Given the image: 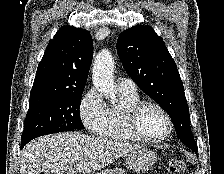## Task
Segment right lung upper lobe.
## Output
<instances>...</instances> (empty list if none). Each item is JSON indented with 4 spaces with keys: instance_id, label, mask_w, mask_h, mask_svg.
<instances>
[{
    "instance_id": "cb5924a9",
    "label": "right lung upper lobe",
    "mask_w": 224,
    "mask_h": 174,
    "mask_svg": "<svg viewBox=\"0 0 224 174\" xmlns=\"http://www.w3.org/2000/svg\"><path fill=\"white\" fill-rule=\"evenodd\" d=\"M92 56L93 41L88 31L60 28L38 65L30 96L83 92Z\"/></svg>"
}]
</instances>
